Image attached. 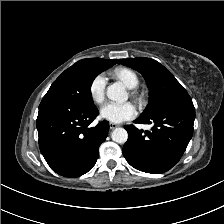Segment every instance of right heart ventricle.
Masks as SVG:
<instances>
[{
	"instance_id": "e07e8e85",
	"label": "right heart ventricle",
	"mask_w": 224,
	"mask_h": 224,
	"mask_svg": "<svg viewBox=\"0 0 224 224\" xmlns=\"http://www.w3.org/2000/svg\"><path fill=\"white\" fill-rule=\"evenodd\" d=\"M113 76L122 81L130 89H134L139 85L138 75L129 68H117L113 71Z\"/></svg>"
}]
</instances>
